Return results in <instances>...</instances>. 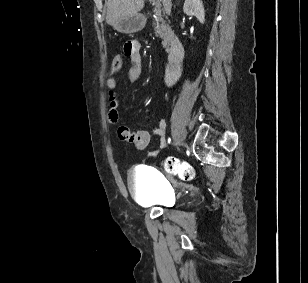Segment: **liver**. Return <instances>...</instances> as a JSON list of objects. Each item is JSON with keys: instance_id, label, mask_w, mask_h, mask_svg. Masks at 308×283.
<instances>
[{"instance_id": "liver-1", "label": "liver", "mask_w": 308, "mask_h": 283, "mask_svg": "<svg viewBox=\"0 0 308 283\" xmlns=\"http://www.w3.org/2000/svg\"><path fill=\"white\" fill-rule=\"evenodd\" d=\"M167 13L171 11V0H161ZM144 7V0H108L106 22L115 25L123 17L137 14Z\"/></svg>"}]
</instances>
